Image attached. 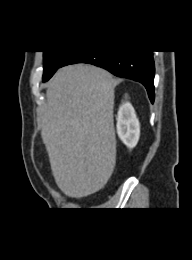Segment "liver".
<instances>
[{"instance_id": "obj_1", "label": "liver", "mask_w": 192, "mask_h": 260, "mask_svg": "<svg viewBox=\"0 0 192 260\" xmlns=\"http://www.w3.org/2000/svg\"><path fill=\"white\" fill-rule=\"evenodd\" d=\"M116 84L108 71L79 63L59 69L48 85L41 136L55 182L66 196L91 195L113 173Z\"/></svg>"}]
</instances>
